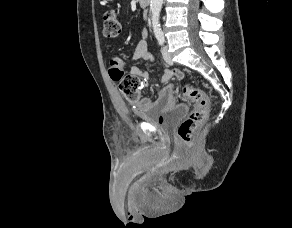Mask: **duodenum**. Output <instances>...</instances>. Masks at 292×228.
Returning a JSON list of instances; mask_svg holds the SVG:
<instances>
[{"mask_svg": "<svg viewBox=\"0 0 292 228\" xmlns=\"http://www.w3.org/2000/svg\"><path fill=\"white\" fill-rule=\"evenodd\" d=\"M141 7L146 8L150 4V0H138Z\"/></svg>", "mask_w": 292, "mask_h": 228, "instance_id": "duodenum-1", "label": "duodenum"}]
</instances>
